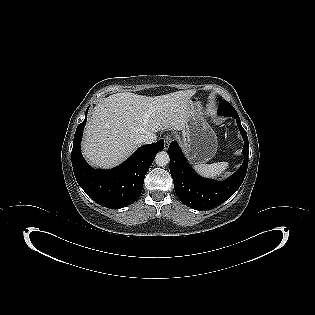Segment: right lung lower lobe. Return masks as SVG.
<instances>
[{"label": "right lung lower lobe", "mask_w": 315, "mask_h": 315, "mask_svg": "<svg viewBox=\"0 0 315 315\" xmlns=\"http://www.w3.org/2000/svg\"><path fill=\"white\" fill-rule=\"evenodd\" d=\"M86 120L87 114L76 129L72 149L73 171L78 184L89 197L104 207L115 209L134 203L140 197L144 177L156 154L164 149V140L140 147L114 169H93L86 163L80 150Z\"/></svg>", "instance_id": "1"}]
</instances>
